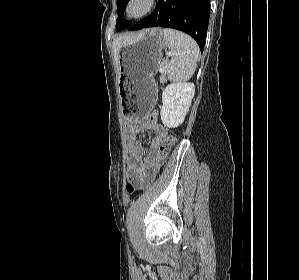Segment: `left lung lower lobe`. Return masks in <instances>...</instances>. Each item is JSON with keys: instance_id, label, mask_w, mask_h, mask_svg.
<instances>
[{"instance_id": "1", "label": "left lung lower lobe", "mask_w": 299, "mask_h": 280, "mask_svg": "<svg viewBox=\"0 0 299 280\" xmlns=\"http://www.w3.org/2000/svg\"><path fill=\"white\" fill-rule=\"evenodd\" d=\"M210 0H158L148 17L140 20L130 30L148 27H167L191 35L204 50L210 17Z\"/></svg>"}]
</instances>
